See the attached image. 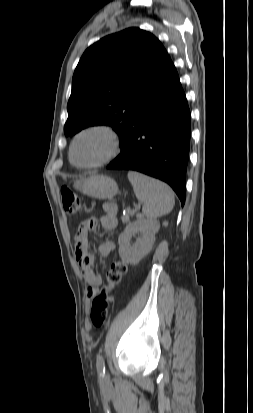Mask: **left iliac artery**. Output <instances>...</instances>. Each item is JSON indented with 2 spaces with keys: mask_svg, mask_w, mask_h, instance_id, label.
Segmentation results:
<instances>
[{
  "mask_svg": "<svg viewBox=\"0 0 253 413\" xmlns=\"http://www.w3.org/2000/svg\"><path fill=\"white\" fill-rule=\"evenodd\" d=\"M96 367H97V371H98L99 375L101 377H104V375H105V362H104V358H103L102 355H98L97 361H96Z\"/></svg>",
  "mask_w": 253,
  "mask_h": 413,
  "instance_id": "left-iliac-artery-1",
  "label": "left iliac artery"
}]
</instances>
